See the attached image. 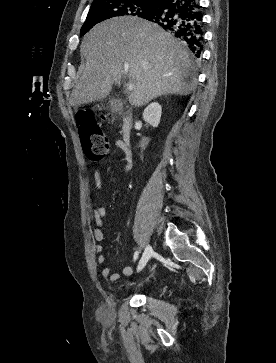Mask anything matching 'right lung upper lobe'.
<instances>
[{
  "label": "right lung upper lobe",
  "mask_w": 276,
  "mask_h": 363,
  "mask_svg": "<svg viewBox=\"0 0 276 363\" xmlns=\"http://www.w3.org/2000/svg\"><path fill=\"white\" fill-rule=\"evenodd\" d=\"M95 1H99V0H95ZM142 1H147V2H150V3L158 6L161 3V1H163V0H142Z\"/></svg>",
  "instance_id": "cb5924a9"
}]
</instances>
